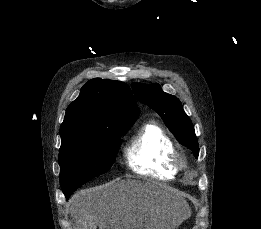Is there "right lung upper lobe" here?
<instances>
[{"mask_svg": "<svg viewBox=\"0 0 261 229\" xmlns=\"http://www.w3.org/2000/svg\"><path fill=\"white\" fill-rule=\"evenodd\" d=\"M137 116L135 98L125 83L91 79L66 110L60 126L61 145L99 136L101 128L134 123Z\"/></svg>", "mask_w": 261, "mask_h": 229, "instance_id": "right-lung-upper-lobe-1", "label": "right lung upper lobe"}]
</instances>
